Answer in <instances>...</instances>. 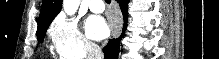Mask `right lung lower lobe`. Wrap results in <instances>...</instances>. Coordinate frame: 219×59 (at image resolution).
Returning <instances> with one entry per match:
<instances>
[{
    "mask_svg": "<svg viewBox=\"0 0 219 59\" xmlns=\"http://www.w3.org/2000/svg\"><path fill=\"white\" fill-rule=\"evenodd\" d=\"M117 2L120 4L123 17H124V25H123V31H122V34H123L126 29L127 22H128L127 4L129 0H117ZM121 38L122 36H120L117 39L109 40L107 46L103 48L104 59H118Z\"/></svg>",
    "mask_w": 219,
    "mask_h": 59,
    "instance_id": "1",
    "label": "right lung lower lobe"
}]
</instances>
